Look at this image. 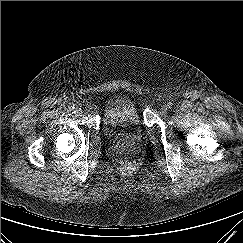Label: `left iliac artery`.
<instances>
[{"label": "left iliac artery", "instance_id": "44dca946", "mask_svg": "<svg viewBox=\"0 0 243 243\" xmlns=\"http://www.w3.org/2000/svg\"><path fill=\"white\" fill-rule=\"evenodd\" d=\"M166 106H167V108H171L172 103L171 102H168Z\"/></svg>", "mask_w": 243, "mask_h": 243}]
</instances>
